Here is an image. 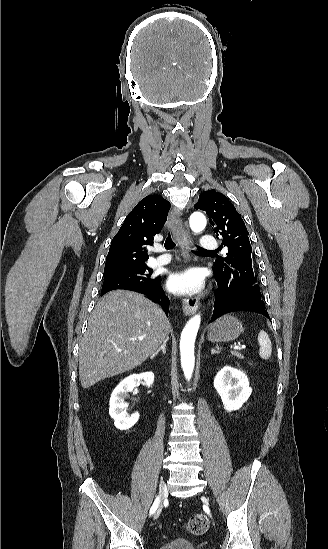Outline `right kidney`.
Wrapping results in <instances>:
<instances>
[{
  "instance_id": "ca27d5eb",
  "label": "right kidney",
  "mask_w": 328,
  "mask_h": 549,
  "mask_svg": "<svg viewBox=\"0 0 328 549\" xmlns=\"http://www.w3.org/2000/svg\"><path fill=\"white\" fill-rule=\"evenodd\" d=\"M141 381L146 383L147 387H151L154 383V373H140V375H129L123 379L117 387H115L109 401V415L114 419V425L120 431L131 429L139 419V413H133L131 417H127L124 409L127 407L125 403V395L131 393L135 387H139Z\"/></svg>"
}]
</instances>
